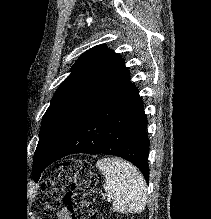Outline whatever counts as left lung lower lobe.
Masks as SVG:
<instances>
[{
  "mask_svg": "<svg viewBox=\"0 0 211 219\" xmlns=\"http://www.w3.org/2000/svg\"><path fill=\"white\" fill-rule=\"evenodd\" d=\"M129 77L127 71L97 100L76 123L54 155L49 157L43 150L34 154L33 159L41 171L71 154H107L132 162L148 183V121L138 89Z\"/></svg>",
  "mask_w": 211,
  "mask_h": 219,
  "instance_id": "0a47b994",
  "label": "left lung lower lobe"
}]
</instances>
